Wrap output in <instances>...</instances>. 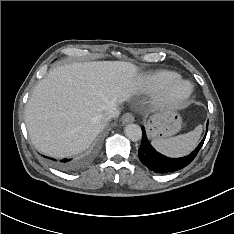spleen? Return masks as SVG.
<instances>
[{"instance_id":"obj_1","label":"spleen","mask_w":234,"mask_h":234,"mask_svg":"<svg viewBox=\"0 0 234 234\" xmlns=\"http://www.w3.org/2000/svg\"><path fill=\"white\" fill-rule=\"evenodd\" d=\"M202 133L198 125L193 131L172 138H157L152 141L156 150L170 157H181L189 154L197 145Z\"/></svg>"}]
</instances>
